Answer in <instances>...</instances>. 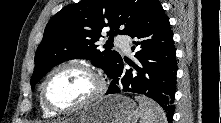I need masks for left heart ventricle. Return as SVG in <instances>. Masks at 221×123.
Returning a JSON list of instances; mask_svg holds the SVG:
<instances>
[{
	"label": "left heart ventricle",
	"mask_w": 221,
	"mask_h": 123,
	"mask_svg": "<svg viewBox=\"0 0 221 123\" xmlns=\"http://www.w3.org/2000/svg\"><path fill=\"white\" fill-rule=\"evenodd\" d=\"M96 88V79L87 72L65 68L51 77L47 85V97L55 106L64 108L87 100Z\"/></svg>",
	"instance_id": "obj_1"
}]
</instances>
